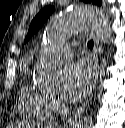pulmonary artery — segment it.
Listing matches in <instances>:
<instances>
[{"label": "pulmonary artery", "mask_w": 125, "mask_h": 128, "mask_svg": "<svg viewBox=\"0 0 125 128\" xmlns=\"http://www.w3.org/2000/svg\"><path fill=\"white\" fill-rule=\"evenodd\" d=\"M72 54V47L63 43H57L53 44L44 55L53 61H58L69 59L71 58Z\"/></svg>", "instance_id": "e3ab8cb5"}]
</instances>
